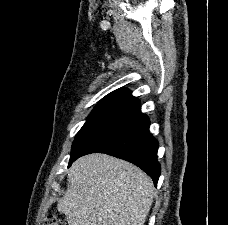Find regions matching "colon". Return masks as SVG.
<instances>
[{"label": "colon", "mask_w": 228, "mask_h": 225, "mask_svg": "<svg viewBox=\"0 0 228 225\" xmlns=\"http://www.w3.org/2000/svg\"><path fill=\"white\" fill-rule=\"evenodd\" d=\"M46 225H65V222L54 215H50L46 221Z\"/></svg>", "instance_id": "obj_1"}]
</instances>
